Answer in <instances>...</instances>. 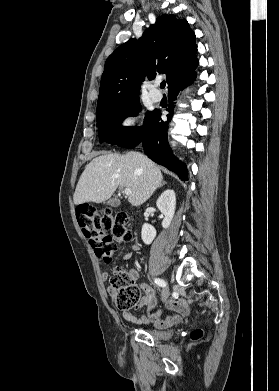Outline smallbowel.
I'll return each instance as SVG.
<instances>
[{
	"mask_svg": "<svg viewBox=\"0 0 279 391\" xmlns=\"http://www.w3.org/2000/svg\"><path fill=\"white\" fill-rule=\"evenodd\" d=\"M138 250V244L131 245L124 253L123 259L129 260ZM130 276L135 279L137 273L131 271ZM102 277L103 279H106L107 274L103 273ZM140 287L144 294L138 303V309L145 308L146 312L145 314L137 315L129 311H123L122 316L126 321L138 325L151 324L157 329H166L179 323L184 316H187L190 313L188 304L184 300L172 298L165 301V307L171 311V314L166 318H163L161 309L154 312L152 311L157 304L155 290L147 284H141ZM110 293L113 295L114 292L112 289L110 290Z\"/></svg>",
	"mask_w": 279,
	"mask_h": 391,
	"instance_id": "small-bowel-1",
	"label": "small bowel"
}]
</instances>
